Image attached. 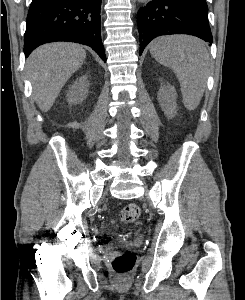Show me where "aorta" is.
Wrapping results in <instances>:
<instances>
[{
    "mask_svg": "<svg viewBox=\"0 0 245 300\" xmlns=\"http://www.w3.org/2000/svg\"><path fill=\"white\" fill-rule=\"evenodd\" d=\"M138 2H140V3H146V2H148V0H138Z\"/></svg>",
    "mask_w": 245,
    "mask_h": 300,
    "instance_id": "1",
    "label": "aorta"
}]
</instances>
